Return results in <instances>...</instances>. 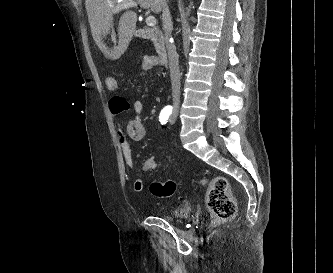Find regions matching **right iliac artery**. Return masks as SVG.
Returning <instances> with one entry per match:
<instances>
[{"instance_id": "right-iliac-artery-1", "label": "right iliac artery", "mask_w": 333, "mask_h": 273, "mask_svg": "<svg viewBox=\"0 0 333 273\" xmlns=\"http://www.w3.org/2000/svg\"><path fill=\"white\" fill-rule=\"evenodd\" d=\"M171 114H172V107L171 106L164 107L159 115L160 123L162 125L166 124Z\"/></svg>"}]
</instances>
